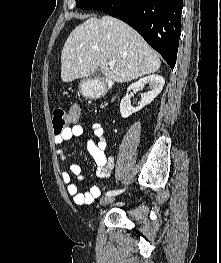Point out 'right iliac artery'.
Instances as JSON below:
<instances>
[{"label":"right iliac artery","mask_w":221,"mask_h":263,"mask_svg":"<svg viewBox=\"0 0 221 263\" xmlns=\"http://www.w3.org/2000/svg\"><path fill=\"white\" fill-rule=\"evenodd\" d=\"M124 191V189L123 190H110V191H108L107 193H106V195L107 196H114V195H117V194H119V193H121V192H123Z\"/></svg>","instance_id":"82829eb1"}]
</instances>
